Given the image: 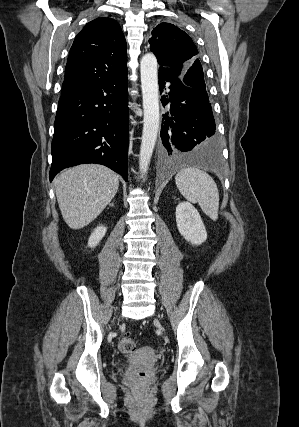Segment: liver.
Listing matches in <instances>:
<instances>
[{
    "label": "liver",
    "instance_id": "1",
    "mask_svg": "<svg viewBox=\"0 0 299 427\" xmlns=\"http://www.w3.org/2000/svg\"><path fill=\"white\" fill-rule=\"evenodd\" d=\"M54 184L64 221L70 228L80 229L110 203L118 190L119 178L105 166L83 164L64 170Z\"/></svg>",
    "mask_w": 299,
    "mask_h": 427
}]
</instances>
